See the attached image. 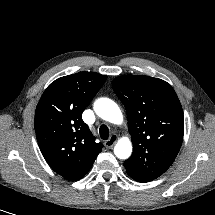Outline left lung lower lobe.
Segmentation results:
<instances>
[{
    "instance_id": "obj_1",
    "label": "left lung lower lobe",
    "mask_w": 215,
    "mask_h": 215,
    "mask_svg": "<svg viewBox=\"0 0 215 215\" xmlns=\"http://www.w3.org/2000/svg\"><path fill=\"white\" fill-rule=\"evenodd\" d=\"M128 175L131 177V178H133L134 180H136V181H138V182H148V181H144V180H140V179H137V178H135L134 176H132L130 173H128Z\"/></svg>"
}]
</instances>
